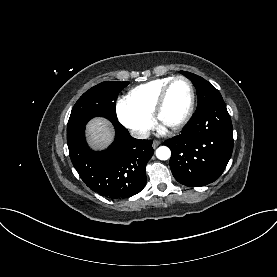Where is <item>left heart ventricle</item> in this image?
I'll list each match as a JSON object with an SVG mask.
<instances>
[{
    "instance_id": "1",
    "label": "left heart ventricle",
    "mask_w": 277,
    "mask_h": 277,
    "mask_svg": "<svg viewBox=\"0 0 277 277\" xmlns=\"http://www.w3.org/2000/svg\"><path fill=\"white\" fill-rule=\"evenodd\" d=\"M190 102L189 86L184 81L175 82L168 93L160 115V123L169 127L176 124L186 113Z\"/></svg>"
}]
</instances>
